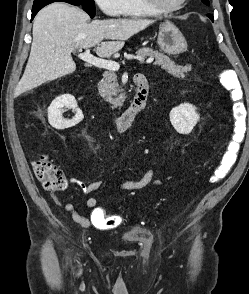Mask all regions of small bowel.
<instances>
[{"instance_id":"1","label":"small bowel","mask_w":249,"mask_h":294,"mask_svg":"<svg viewBox=\"0 0 249 294\" xmlns=\"http://www.w3.org/2000/svg\"><path fill=\"white\" fill-rule=\"evenodd\" d=\"M101 185V182H92L84 187V191L86 193H92L98 190L101 187ZM163 185V181L154 178V169L150 168L138 180H127L120 182L119 189L123 191H136L147 186L161 187ZM53 198L54 200H56V197ZM86 206L92 209L89 218L80 214L72 203L63 204V209L64 211L69 213L72 219L83 228L93 226L101 230L112 229L117 227L121 222V219L118 216L106 214L104 210L99 206V202L96 197L87 198Z\"/></svg>"}]
</instances>
